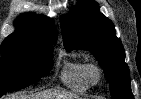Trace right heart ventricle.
<instances>
[{
  "mask_svg": "<svg viewBox=\"0 0 141 99\" xmlns=\"http://www.w3.org/2000/svg\"><path fill=\"white\" fill-rule=\"evenodd\" d=\"M86 66L87 63L80 59L65 61L60 73L62 83L76 92L87 91L91 84L85 75Z\"/></svg>",
  "mask_w": 141,
  "mask_h": 99,
  "instance_id": "1",
  "label": "right heart ventricle"
}]
</instances>
